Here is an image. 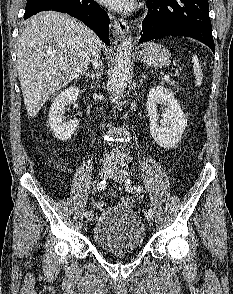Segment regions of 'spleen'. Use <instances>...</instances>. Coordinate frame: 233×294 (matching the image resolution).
I'll use <instances>...</instances> for the list:
<instances>
[{
  "label": "spleen",
  "mask_w": 233,
  "mask_h": 294,
  "mask_svg": "<svg viewBox=\"0 0 233 294\" xmlns=\"http://www.w3.org/2000/svg\"><path fill=\"white\" fill-rule=\"evenodd\" d=\"M192 63H193L194 76L196 80V86H200L203 80V72L199 64L198 57L196 55H193Z\"/></svg>",
  "instance_id": "3e777b00"
}]
</instances>
